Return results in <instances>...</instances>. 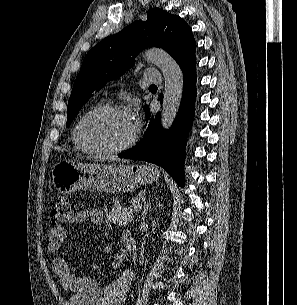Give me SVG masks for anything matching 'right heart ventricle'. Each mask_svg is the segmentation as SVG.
I'll return each mask as SVG.
<instances>
[{
    "mask_svg": "<svg viewBox=\"0 0 297 305\" xmlns=\"http://www.w3.org/2000/svg\"><path fill=\"white\" fill-rule=\"evenodd\" d=\"M100 106V104H96L94 107H92L91 109ZM91 109H89L88 111H90ZM87 111V112H88ZM76 126L73 129V134H72V138H73V143H74V147L75 149H77L78 151H82V152H88L87 150H85L78 142L77 137H76Z\"/></svg>",
    "mask_w": 297,
    "mask_h": 305,
    "instance_id": "e07e8e85",
    "label": "right heart ventricle"
}]
</instances>
